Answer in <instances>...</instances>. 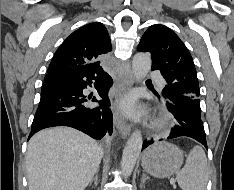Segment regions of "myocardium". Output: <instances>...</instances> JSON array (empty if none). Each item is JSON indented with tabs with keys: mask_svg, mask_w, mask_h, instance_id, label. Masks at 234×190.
Segmentation results:
<instances>
[{
	"mask_svg": "<svg viewBox=\"0 0 234 190\" xmlns=\"http://www.w3.org/2000/svg\"><path fill=\"white\" fill-rule=\"evenodd\" d=\"M168 124V120L166 118H157L153 122V127L160 129L165 127Z\"/></svg>",
	"mask_w": 234,
	"mask_h": 190,
	"instance_id": "obj_1",
	"label": "myocardium"
}]
</instances>
